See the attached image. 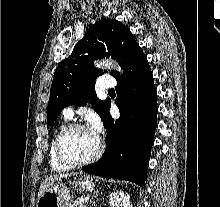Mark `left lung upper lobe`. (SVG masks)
<instances>
[{"mask_svg":"<svg viewBox=\"0 0 220 207\" xmlns=\"http://www.w3.org/2000/svg\"><path fill=\"white\" fill-rule=\"evenodd\" d=\"M138 44L130 30L119 21L102 19L92 25L75 45L71 55L58 64L51 85L47 107V124H52L61 111L72 104L86 105L92 99L94 110L103 120L110 100L97 99L94 82L103 70H98L94 60L111 57L123 68ZM116 77L117 72L111 71Z\"/></svg>","mask_w":220,"mask_h":207,"instance_id":"obj_1","label":"left lung upper lobe"}]
</instances>
